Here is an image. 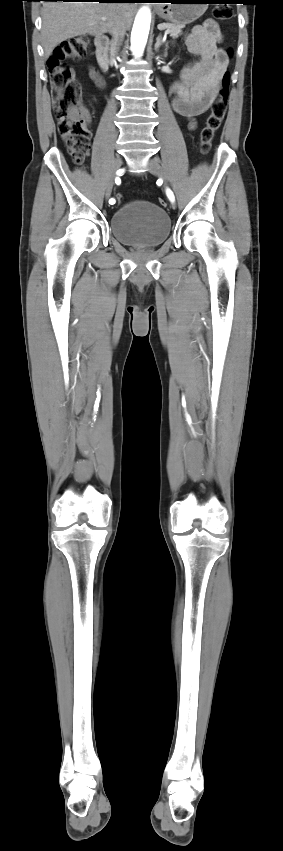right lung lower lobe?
Wrapping results in <instances>:
<instances>
[{
  "label": "right lung lower lobe",
  "instance_id": "98d812e1",
  "mask_svg": "<svg viewBox=\"0 0 283 851\" xmlns=\"http://www.w3.org/2000/svg\"><path fill=\"white\" fill-rule=\"evenodd\" d=\"M44 1H75V0H44ZM83 1H99V2H135V3L142 2V0H83Z\"/></svg>",
  "mask_w": 283,
  "mask_h": 851
}]
</instances>
